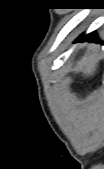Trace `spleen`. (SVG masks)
<instances>
[{"mask_svg": "<svg viewBox=\"0 0 104 169\" xmlns=\"http://www.w3.org/2000/svg\"><path fill=\"white\" fill-rule=\"evenodd\" d=\"M96 57L91 56L88 58H85L83 61V64L81 65V69H83L85 75H92L94 71L96 70Z\"/></svg>", "mask_w": 104, "mask_h": 169, "instance_id": "obj_1", "label": "spleen"}]
</instances>
